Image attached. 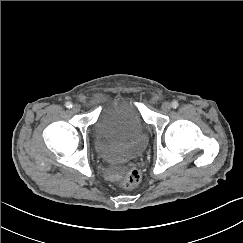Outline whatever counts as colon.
I'll list each match as a JSON object with an SVG mask.
<instances>
[{"label":"colon","mask_w":243,"mask_h":243,"mask_svg":"<svg viewBox=\"0 0 243 243\" xmlns=\"http://www.w3.org/2000/svg\"><path fill=\"white\" fill-rule=\"evenodd\" d=\"M140 180V172L136 169H130L126 172L121 185L124 189H133L140 183Z\"/></svg>","instance_id":"1"}]
</instances>
